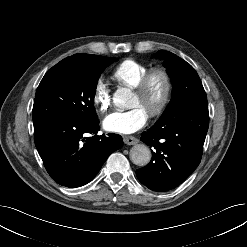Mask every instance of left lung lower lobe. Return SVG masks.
<instances>
[{
	"mask_svg": "<svg viewBox=\"0 0 247 247\" xmlns=\"http://www.w3.org/2000/svg\"><path fill=\"white\" fill-rule=\"evenodd\" d=\"M208 126L207 103H196L143 132L140 140L152 148V159L136 170L140 182L167 191L185 181L201 161Z\"/></svg>",
	"mask_w": 247,
	"mask_h": 247,
	"instance_id": "left-lung-lower-lobe-1",
	"label": "left lung lower lobe"
}]
</instances>
